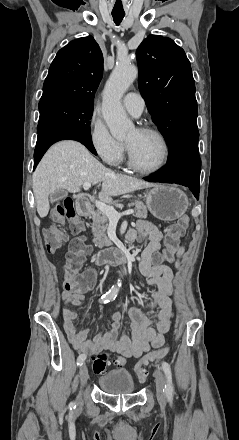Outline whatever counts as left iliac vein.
<instances>
[{
	"instance_id": "4c4485c4",
	"label": "left iliac vein",
	"mask_w": 239,
	"mask_h": 440,
	"mask_svg": "<svg viewBox=\"0 0 239 440\" xmlns=\"http://www.w3.org/2000/svg\"><path fill=\"white\" fill-rule=\"evenodd\" d=\"M154 377L158 402L160 405L164 406L166 404L165 377L159 369L154 372Z\"/></svg>"
}]
</instances>
